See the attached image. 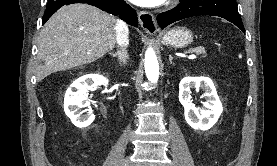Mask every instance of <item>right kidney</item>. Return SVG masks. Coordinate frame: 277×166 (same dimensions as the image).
Returning <instances> with one entry per match:
<instances>
[{"mask_svg":"<svg viewBox=\"0 0 277 166\" xmlns=\"http://www.w3.org/2000/svg\"><path fill=\"white\" fill-rule=\"evenodd\" d=\"M101 84L107 85L108 80L101 75L90 74L78 78L67 89L64 97V111L75 126L84 128L93 122L95 116L92 112L82 115L79 109L88 106L86 93Z\"/></svg>","mask_w":277,"mask_h":166,"instance_id":"obj_1","label":"right kidney"}]
</instances>
